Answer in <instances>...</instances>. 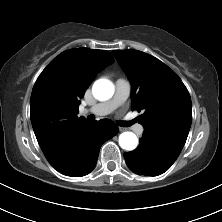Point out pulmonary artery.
<instances>
[{
	"label": "pulmonary artery",
	"mask_w": 222,
	"mask_h": 222,
	"mask_svg": "<svg viewBox=\"0 0 222 222\" xmlns=\"http://www.w3.org/2000/svg\"><path fill=\"white\" fill-rule=\"evenodd\" d=\"M131 92V84L127 79L120 78L115 84V94L112 99L98 103L82 110V114L107 115L124 103ZM135 131L141 134L144 131L142 125H137Z\"/></svg>",
	"instance_id": "e3ab8cb5"
}]
</instances>
